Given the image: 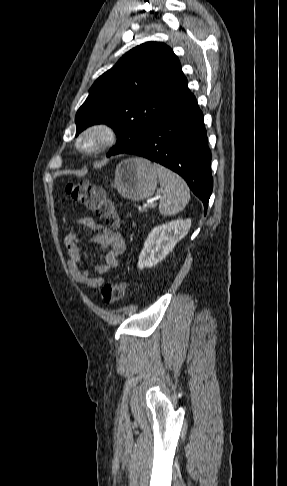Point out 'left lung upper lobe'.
I'll list each match as a JSON object with an SVG mask.
<instances>
[{"label":"left lung upper lobe","instance_id":"5c2ea615","mask_svg":"<svg viewBox=\"0 0 287 486\" xmlns=\"http://www.w3.org/2000/svg\"><path fill=\"white\" fill-rule=\"evenodd\" d=\"M187 84L170 47L159 42L141 44L94 82L76 113L77 134L105 123L117 133V143L107 156L126 153L144 142Z\"/></svg>","mask_w":287,"mask_h":486}]
</instances>
